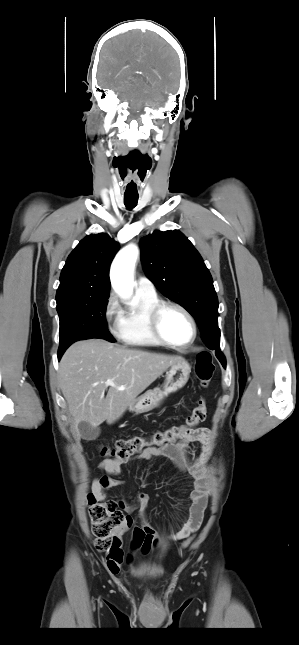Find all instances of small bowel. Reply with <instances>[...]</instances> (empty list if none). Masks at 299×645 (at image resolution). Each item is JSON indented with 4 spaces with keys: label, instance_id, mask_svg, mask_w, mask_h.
Masks as SVG:
<instances>
[{
    "label": "small bowel",
    "instance_id": "c3829d8e",
    "mask_svg": "<svg viewBox=\"0 0 299 645\" xmlns=\"http://www.w3.org/2000/svg\"><path fill=\"white\" fill-rule=\"evenodd\" d=\"M198 442L203 446L198 456H193L190 452L189 444ZM213 443L212 432L207 427H198L188 430L186 435L179 441L161 447H147L140 453L136 454L133 459L149 461L153 458H162L169 461L179 472H188L194 479L193 488L190 494L191 505L188 515L179 529L169 535L171 541H178L188 537L196 531L203 518V512L206 505V480H207V463L211 454ZM121 463L114 460H106L99 465V468L105 473L97 477L92 482V495L98 500L106 497V491L122 485L118 479L121 474ZM149 495L140 492L136 495L132 503L123 500L118 502V506L125 511L138 509L142 514L146 511L149 504ZM133 528V536L130 544V550L127 556L121 549L120 535L121 530L117 531V538L113 549L106 557L108 567L119 566L122 562H130L136 551L148 553L157 547L159 538L156 530L148 524L141 527L133 526L131 517L126 518L124 528Z\"/></svg>",
    "mask_w": 299,
    "mask_h": 645
}]
</instances>
